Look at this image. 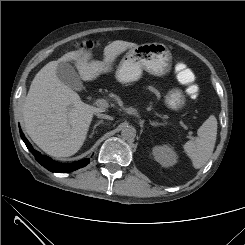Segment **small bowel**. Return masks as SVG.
<instances>
[{"instance_id": "obj_1", "label": "small bowel", "mask_w": 245, "mask_h": 245, "mask_svg": "<svg viewBox=\"0 0 245 245\" xmlns=\"http://www.w3.org/2000/svg\"><path fill=\"white\" fill-rule=\"evenodd\" d=\"M175 72L181 83L192 82L194 80L192 71L183 63H177L175 65Z\"/></svg>"}]
</instances>
